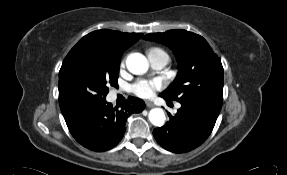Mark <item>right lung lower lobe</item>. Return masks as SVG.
Instances as JSON below:
<instances>
[{"label": "right lung lower lobe", "instance_id": "1", "mask_svg": "<svg viewBox=\"0 0 287 175\" xmlns=\"http://www.w3.org/2000/svg\"><path fill=\"white\" fill-rule=\"evenodd\" d=\"M144 108L145 103L139 98L129 97L120 108L113 107L104 98L95 105L66 111L63 116L77 142L92 151L103 152L121 141L127 117Z\"/></svg>", "mask_w": 287, "mask_h": 175}]
</instances>
